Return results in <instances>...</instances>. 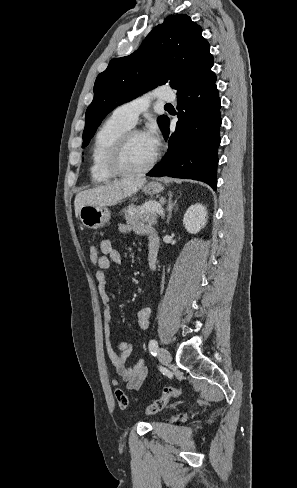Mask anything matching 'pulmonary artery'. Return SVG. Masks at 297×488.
Listing matches in <instances>:
<instances>
[{"label":"pulmonary artery","mask_w":297,"mask_h":488,"mask_svg":"<svg viewBox=\"0 0 297 488\" xmlns=\"http://www.w3.org/2000/svg\"><path fill=\"white\" fill-rule=\"evenodd\" d=\"M154 99L171 102L175 100V95L169 90L158 88L120 105L114 113L130 126H134L138 116L148 109Z\"/></svg>","instance_id":"e3ab8cb5"}]
</instances>
